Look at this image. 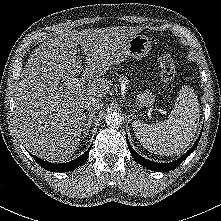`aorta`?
<instances>
[{
	"label": "aorta",
	"mask_w": 221,
	"mask_h": 221,
	"mask_svg": "<svg viewBox=\"0 0 221 221\" xmlns=\"http://www.w3.org/2000/svg\"><path fill=\"white\" fill-rule=\"evenodd\" d=\"M122 116L117 112H111L106 116V123L112 128H117L122 125Z\"/></svg>",
	"instance_id": "obj_1"
}]
</instances>
